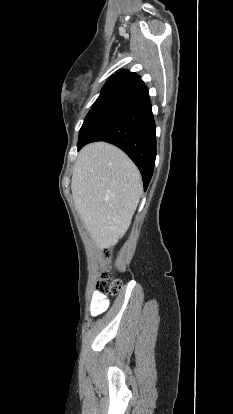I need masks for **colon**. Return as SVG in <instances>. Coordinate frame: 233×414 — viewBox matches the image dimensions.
<instances>
[{
    "instance_id": "obj_1",
    "label": "colon",
    "mask_w": 233,
    "mask_h": 414,
    "mask_svg": "<svg viewBox=\"0 0 233 414\" xmlns=\"http://www.w3.org/2000/svg\"><path fill=\"white\" fill-rule=\"evenodd\" d=\"M98 291L108 295H116L121 288V281L114 279L108 273H103L98 285Z\"/></svg>"
}]
</instances>
